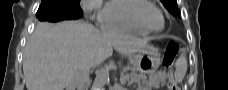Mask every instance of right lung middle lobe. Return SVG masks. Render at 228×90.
<instances>
[{
    "label": "right lung middle lobe",
    "mask_w": 228,
    "mask_h": 90,
    "mask_svg": "<svg viewBox=\"0 0 228 90\" xmlns=\"http://www.w3.org/2000/svg\"><path fill=\"white\" fill-rule=\"evenodd\" d=\"M42 3H51L70 17H78L82 14L80 0H42Z\"/></svg>",
    "instance_id": "1"
}]
</instances>
